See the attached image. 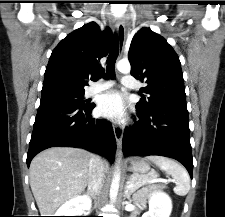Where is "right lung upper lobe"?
<instances>
[{"label":"right lung upper lobe","instance_id":"cb5924a9","mask_svg":"<svg viewBox=\"0 0 225 217\" xmlns=\"http://www.w3.org/2000/svg\"><path fill=\"white\" fill-rule=\"evenodd\" d=\"M112 33L90 22L73 31L53 50L46 71L42 95L54 92L84 93L87 80H98L104 70L99 61L108 54Z\"/></svg>","mask_w":225,"mask_h":217}]
</instances>
